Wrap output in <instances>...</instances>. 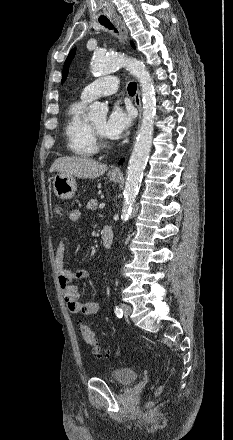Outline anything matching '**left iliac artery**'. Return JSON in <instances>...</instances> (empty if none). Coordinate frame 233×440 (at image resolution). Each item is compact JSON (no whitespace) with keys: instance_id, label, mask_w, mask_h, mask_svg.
Returning <instances> with one entry per match:
<instances>
[{"instance_id":"44dca946","label":"left iliac artery","mask_w":233,"mask_h":440,"mask_svg":"<svg viewBox=\"0 0 233 440\" xmlns=\"http://www.w3.org/2000/svg\"><path fill=\"white\" fill-rule=\"evenodd\" d=\"M115 314H116V316L117 317H122L123 316V311H122V309L121 308H119V307H116L115 308Z\"/></svg>"}]
</instances>
